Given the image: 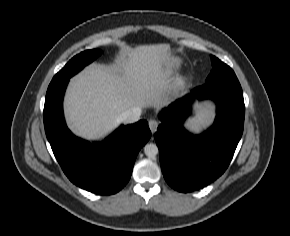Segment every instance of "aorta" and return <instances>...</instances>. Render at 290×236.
<instances>
[{"label":"aorta","mask_w":290,"mask_h":236,"mask_svg":"<svg viewBox=\"0 0 290 236\" xmlns=\"http://www.w3.org/2000/svg\"><path fill=\"white\" fill-rule=\"evenodd\" d=\"M158 152V147L154 143H148L144 146V153L148 157H154L158 154Z\"/></svg>","instance_id":"762f6f07"}]
</instances>
